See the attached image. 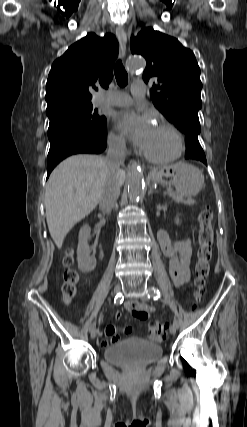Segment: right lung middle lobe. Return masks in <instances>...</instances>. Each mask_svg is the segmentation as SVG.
Masks as SVG:
<instances>
[{
    "label": "right lung middle lobe",
    "mask_w": 247,
    "mask_h": 427,
    "mask_svg": "<svg viewBox=\"0 0 247 427\" xmlns=\"http://www.w3.org/2000/svg\"><path fill=\"white\" fill-rule=\"evenodd\" d=\"M92 104L82 106H66L53 113H48L51 120H67L84 126L91 131L106 137V118L98 115Z\"/></svg>",
    "instance_id": "dd1d6c3e"
}]
</instances>
